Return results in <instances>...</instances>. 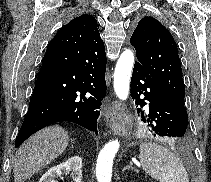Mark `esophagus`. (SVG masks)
<instances>
[{"label": "esophagus", "instance_id": "obj_1", "mask_svg": "<svg viewBox=\"0 0 211 182\" xmlns=\"http://www.w3.org/2000/svg\"><path fill=\"white\" fill-rule=\"evenodd\" d=\"M115 106H116V107H120V104H119V103H115Z\"/></svg>", "mask_w": 211, "mask_h": 182}]
</instances>
